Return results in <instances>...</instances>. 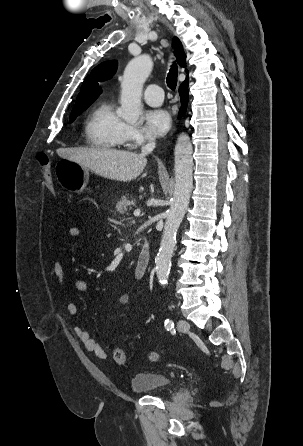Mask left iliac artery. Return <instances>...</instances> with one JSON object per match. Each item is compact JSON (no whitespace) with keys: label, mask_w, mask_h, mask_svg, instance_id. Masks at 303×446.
I'll return each instance as SVG.
<instances>
[{"label":"left iliac artery","mask_w":303,"mask_h":446,"mask_svg":"<svg viewBox=\"0 0 303 446\" xmlns=\"http://www.w3.org/2000/svg\"><path fill=\"white\" fill-rule=\"evenodd\" d=\"M165 328L169 331L174 329V323L172 320L166 319L165 320Z\"/></svg>","instance_id":"left-iliac-artery-1"}]
</instances>
